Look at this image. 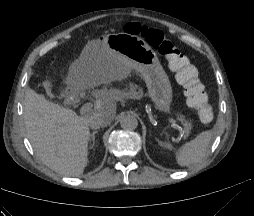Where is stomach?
<instances>
[{
    "label": "stomach",
    "mask_w": 254,
    "mask_h": 216,
    "mask_svg": "<svg viewBox=\"0 0 254 216\" xmlns=\"http://www.w3.org/2000/svg\"><path fill=\"white\" fill-rule=\"evenodd\" d=\"M115 55L121 56L130 69L142 75L155 108L162 114H169L173 101L171 82L156 53L143 39L124 33L106 35L90 42L75 66L88 69L104 66Z\"/></svg>",
    "instance_id": "obj_1"
}]
</instances>
